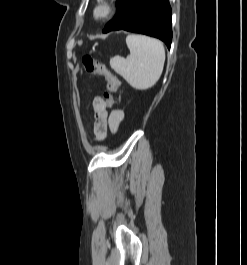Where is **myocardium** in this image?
Segmentation results:
<instances>
[{
    "mask_svg": "<svg viewBox=\"0 0 247 265\" xmlns=\"http://www.w3.org/2000/svg\"><path fill=\"white\" fill-rule=\"evenodd\" d=\"M119 5L112 0H97L92 16L97 21H106L110 19L118 10Z\"/></svg>",
    "mask_w": 247,
    "mask_h": 265,
    "instance_id": "1",
    "label": "myocardium"
}]
</instances>
